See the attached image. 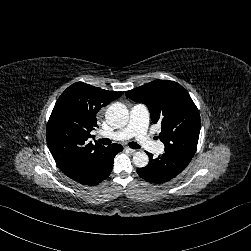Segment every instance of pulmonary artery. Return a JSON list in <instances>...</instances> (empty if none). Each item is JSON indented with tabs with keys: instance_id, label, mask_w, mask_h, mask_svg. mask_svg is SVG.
<instances>
[{
	"instance_id": "obj_1",
	"label": "pulmonary artery",
	"mask_w": 251,
	"mask_h": 251,
	"mask_svg": "<svg viewBox=\"0 0 251 251\" xmlns=\"http://www.w3.org/2000/svg\"><path fill=\"white\" fill-rule=\"evenodd\" d=\"M148 111L141 106H134L130 112L128 124L117 131L111 133V137L117 140H128L131 137L138 145L149 154H165L166 148L160 141H153V138L148 132Z\"/></svg>"
}]
</instances>
